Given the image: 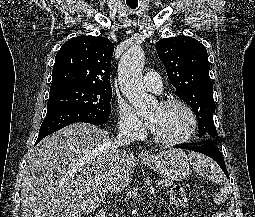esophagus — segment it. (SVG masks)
<instances>
[{"mask_svg": "<svg viewBox=\"0 0 255 217\" xmlns=\"http://www.w3.org/2000/svg\"><path fill=\"white\" fill-rule=\"evenodd\" d=\"M139 156L140 158H149V154L147 152H141Z\"/></svg>", "mask_w": 255, "mask_h": 217, "instance_id": "esophagus-1", "label": "esophagus"}]
</instances>
